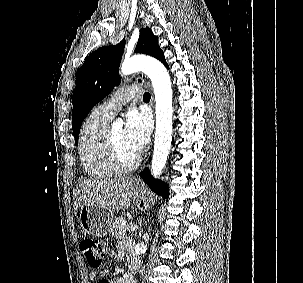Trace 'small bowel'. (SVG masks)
Listing matches in <instances>:
<instances>
[{"instance_id":"1","label":"small bowel","mask_w":303,"mask_h":283,"mask_svg":"<svg viewBox=\"0 0 303 283\" xmlns=\"http://www.w3.org/2000/svg\"><path fill=\"white\" fill-rule=\"evenodd\" d=\"M127 254L131 260L136 259V254L131 248L130 241H120L116 244L115 248L110 253V257L116 260H120ZM98 277L97 272H90L89 278L91 281H95ZM133 278L127 273L116 279L115 283H131Z\"/></svg>"}]
</instances>
